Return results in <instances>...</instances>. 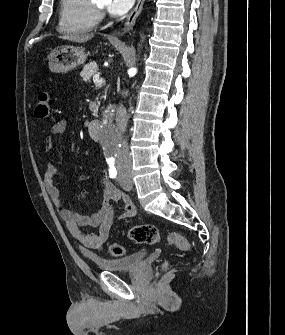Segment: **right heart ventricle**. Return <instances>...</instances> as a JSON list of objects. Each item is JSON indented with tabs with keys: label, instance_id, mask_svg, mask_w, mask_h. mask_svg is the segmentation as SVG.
<instances>
[{
	"label": "right heart ventricle",
	"instance_id": "e07e8e85",
	"mask_svg": "<svg viewBox=\"0 0 285 335\" xmlns=\"http://www.w3.org/2000/svg\"><path fill=\"white\" fill-rule=\"evenodd\" d=\"M97 1H63L59 31L79 37L93 31L98 24Z\"/></svg>",
	"mask_w": 285,
	"mask_h": 335
}]
</instances>
